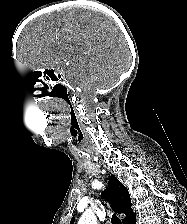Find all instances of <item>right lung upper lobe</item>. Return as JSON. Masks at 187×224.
<instances>
[{
  "label": "right lung upper lobe",
  "instance_id": "obj_1",
  "mask_svg": "<svg viewBox=\"0 0 187 224\" xmlns=\"http://www.w3.org/2000/svg\"><path fill=\"white\" fill-rule=\"evenodd\" d=\"M103 196L111 203L117 213H124L126 215L122 219L123 224H129L136 217V214L131 209V199L128 189L114 175H111ZM74 221L75 218L73 217L70 223L74 224Z\"/></svg>",
  "mask_w": 187,
  "mask_h": 224
}]
</instances>
